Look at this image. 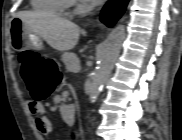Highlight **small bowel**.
<instances>
[{"mask_svg": "<svg viewBox=\"0 0 182 140\" xmlns=\"http://www.w3.org/2000/svg\"><path fill=\"white\" fill-rule=\"evenodd\" d=\"M28 111L35 115V125L37 130L44 136L49 137L52 133V123L45 115V107L41 102L31 100L27 103Z\"/></svg>", "mask_w": 182, "mask_h": 140, "instance_id": "obj_1", "label": "small bowel"}]
</instances>
